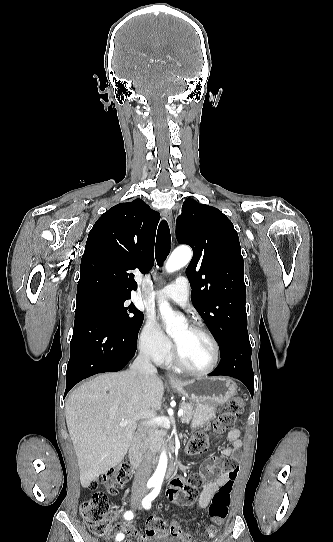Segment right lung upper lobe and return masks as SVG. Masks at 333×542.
Wrapping results in <instances>:
<instances>
[{
  "label": "right lung upper lobe",
  "mask_w": 333,
  "mask_h": 542,
  "mask_svg": "<svg viewBox=\"0 0 333 542\" xmlns=\"http://www.w3.org/2000/svg\"><path fill=\"white\" fill-rule=\"evenodd\" d=\"M160 214L141 199L120 203L96 221L81 259L76 304L92 294L128 300L136 290L133 270L154 265V242Z\"/></svg>",
  "instance_id": "right-lung-upper-lobe-1"
}]
</instances>
